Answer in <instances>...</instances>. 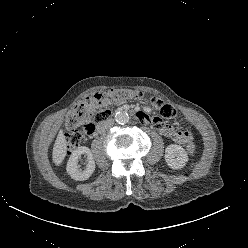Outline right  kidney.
<instances>
[{"mask_svg":"<svg viewBox=\"0 0 248 248\" xmlns=\"http://www.w3.org/2000/svg\"><path fill=\"white\" fill-rule=\"evenodd\" d=\"M81 155L87 156L86 169H80L78 161ZM67 173L76 181L87 180L95 170V161L91 150L86 146H81L75 149L67 162Z\"/></svg>","mask_w":248,"mask_h":248,"instance_id":"obj_1","label":"right kidney"}]
</instances>
